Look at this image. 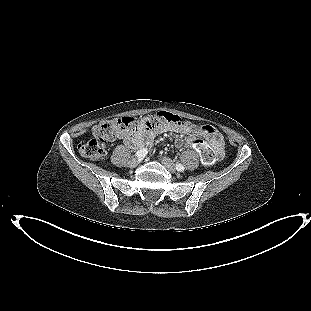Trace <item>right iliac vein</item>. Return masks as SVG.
Instances as JSON below:
<instances>
[{"instance_id":"obj_1","label":"right iliac vein","mask_w":311,"mask_h":311,"mask_svg":"<svg viewBox=\"0 0 311 311\" xmlns=\"http://www.w3.org/2000/svg\"><path fill=\"white\" fill-rule=\"evenodd\" d=\"M138 164H139V160L136 158H133L129 161V166L131 168H135L136 166H138Z\"/></svg>"}]
</instances>
